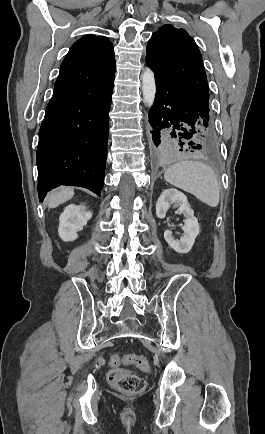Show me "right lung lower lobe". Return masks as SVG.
Returning <instances> with one entry per match:
<instances>
[{"instance_id":"obj_1","label":"right lung lower lobe","mask_w":265,"mask_h":434,"mask_svg":"<svg viewBox=\"0 0 265 434\" xmlns=\"http://www.w3.org/2000/svg\"><path fill=\"white\" fill-rule=\"evenodd\" d=\"M114 50L70 48L39 131L38 195L59 185L103 188Z\"/></svg>"}]
</instances>
